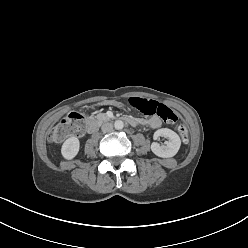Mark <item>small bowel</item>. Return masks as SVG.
<instances>
[{
  "instance_id": "1",
  "label": "small bowel",
  "mask_w": 248,
  "mask_h": 248,
  "mask_svg": "<svg viewBox=\"0 0 248 248\" xmlns=\"http://www.w3.org/2000/svg\"><path fill=\"white\" fill-rule=\"evenodd\" d=\"M143 123L151 129H156L161 125V121L157 116H151L143 120Z\"/></svg>"
}]
</instances>
